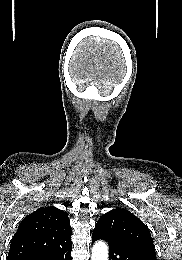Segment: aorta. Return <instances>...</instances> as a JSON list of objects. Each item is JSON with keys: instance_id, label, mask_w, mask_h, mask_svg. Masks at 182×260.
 <instances>
[{"instance_id": "762f6f07", "label": "aorta", "mask_w": 182, "mask_h": 260, "mask_svg": "<svg viewBox=\"0 0 182 260\" xmlns=\"http://www.w3.org/2000/svg\"><path fill=\"white\" fill-rule=\"evenodd\" d=\"M91 260H108V246L103 241H98L92 248Z\"/></svg>"}]
</instances>
